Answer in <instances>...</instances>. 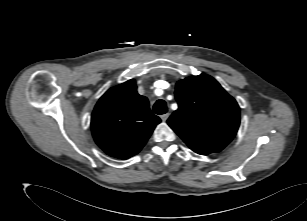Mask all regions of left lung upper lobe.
I'll return each mask as SVG.
<instances>
[{
  "instance_id": "5c2ea615",
  "label": "left lung upper lobe",
  "mask_w": 307,
  "mask_h": 221,
  "mask_svg": "<svg viewBox=\"0 0 307 221\" xmlns=\"http://www.w3.org/2000/svg\"><path fill=\"white\" fill-rule=\"evenodd\" d=\"M175 96L179 108L167 123L194 152H220L232 141L240 108L213 77L201 74L180 80Z\"/></svg>"
}]
</instances>
